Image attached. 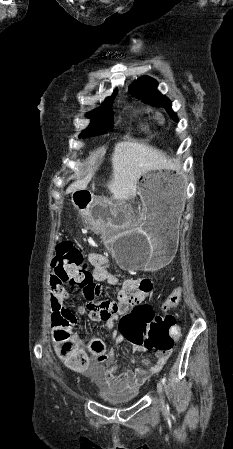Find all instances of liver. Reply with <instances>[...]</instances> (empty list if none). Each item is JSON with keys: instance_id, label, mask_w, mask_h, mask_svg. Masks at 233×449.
Returning a JSON list of instances; mask_svg holds the SVG:
<instances>
[{"instance_id": "6515ba94", "label": "liver", "mask_w": 233, "mask_h": 449, "mask_svg": "<svg viewBox=\"0 0 233 449\" xmlns=\"http://www.w3.org/2000/svg\"><path fill=\"white\" fill-rule=\"evenodd\" d=\"M105 148L101 153H105ZM112 175L107 187L117 200H127L133 197L138 190L139 178L148 171L160 168L165 163V156L151 146L143 143L123 141L114 147L111 157ZM93 175V168L82 179L72 183L66 193H71L87 188Z\"/></svg>"}]
</instances>
